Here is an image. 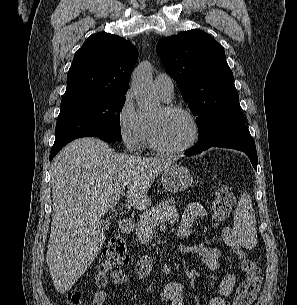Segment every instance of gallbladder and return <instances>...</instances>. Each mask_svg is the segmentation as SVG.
<instances>
[{
	"label": "gallbladder",
	"instance_id": "obj_1",
	"mask_svg": "<svg viewBox=\"0 0 297 305\" xmlns=\"http://www.w3.org/2000/svg\"><path fill=\"white\" fill-rule=\"evenodd\" d=\"M98 227L101 231H105L110 227V222L107 220H103L99 222Z\"/></svg>",
	"mask_w": 297,
	"mask_h": 305
}]
</instances>
